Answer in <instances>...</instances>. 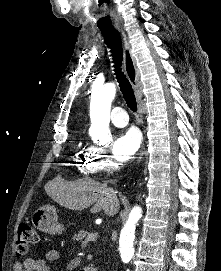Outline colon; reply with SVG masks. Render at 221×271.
<instances>
[{"label":"colon","mask_w":221,"mask_h":271,"mask_svg":"<svg viewBox=\"0 0 221 271\" xmlns=\"http://www.w3.org/2000/svg\"><path fill=\"white\" fill-rule=\"evenodd\" d=\"M38 244V235L34 228L27 223H20L16 240V254L26 257L31 254Z\"/></svg>","instance_id":"colon-1"}]
</instances>
